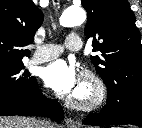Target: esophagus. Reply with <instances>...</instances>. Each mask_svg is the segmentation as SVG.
<instances>
[{
    "mask_svg": "<svg viewBox=\"0 0 142 128\" xmlns=\"http://www.w3.org/2000/svg\"><path fill=\"white\" fill-rule=\"evenodd\" d=\"M67 128H80V124L72 118L66 119Z\"/></svg>",
    "mask_w": 142,
    "mask_h": 128,
    "instance_id": "34e87169",
    "label": "esophagus"
}]
</instances>
